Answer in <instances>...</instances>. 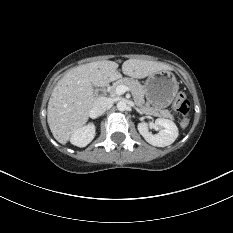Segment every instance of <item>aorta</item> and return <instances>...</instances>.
I'll list each match as a JSON object with an SVG mask.
<instances>
[{
  "label": "aorta",
  "mask_w": 233,
  "mask_h": 233,
  "mask_svg": "<svg viewBox=\"0 0 233 233\" xmlns=\"http://www.w3.org/2000/svg\"><path fill=\"white\" fill-rule=\"evenodd\" d=\"M117 109L119 111H125L127 109V103L125 101H119L117 103Z\"/></svg>",
  "instance_id": "obj_1"
}]
</instances>
